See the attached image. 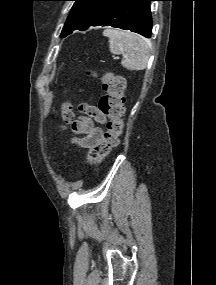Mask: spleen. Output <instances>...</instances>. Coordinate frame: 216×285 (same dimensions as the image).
Returning a JSON list of instances; mask_svg holds the SVG:
<instances>
[{
  "label": "spleen",
  "instance_id": "3e777b00",
  "mask_svg": "<svg viewBox=\"0 0 216 285\" xmlns=\"http://www.w3.org/2000/svg\"><path fill=\"white\" fill-rule=\"evenodd\" d=\"M103 35L109 38L111 53L122 54L121 65L128 70H143L150 56L149 42L142 36L120 29L107 28Z\"/></svg>",
  "mask_w": 216,
  "mask_h": 285
}]
</instances>
